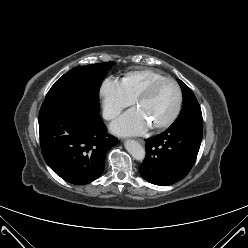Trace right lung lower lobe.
Instances as JSON below:
<instances>
[{
    "instance_id": "right-lung-lower-lobe-1",
    "label": "right lung lower lobe",
    "mask_w": 248,
    "mask_h": 248,
    "mask_svg": "<svg viewBox=\"0 0 248 248\" xmlns=\"http://www.w3.org/2000/svg\"><path fill=\"white\" fill-rule=\"evenodd\" d=\"M99 112V100L82 96L39 116L43 157L67 182L83 185L97 179L106 153L118 142L107 133Z\"/></svg>"
}]
</instances>
